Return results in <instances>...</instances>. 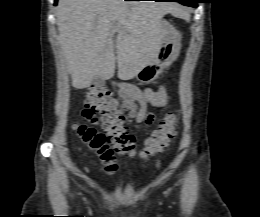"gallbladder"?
I'll list each match as a JSON object with an SVG mask.
<instances>
[{"mask_svg": "<svg viewBox=\"0 0 260 217\" xmlns=\"http://www.w3.org/2000/svg\"><path fill=\"white\" fill-rule=\"evenodd\" d=\"M92 84L96 87H102L104 85V80L99 76H95L93 78Z\"/></svg>", "mask_w": 260, "mask_h": 217, "instance_id": "obj_1", "label": "gallbladder"}]
</instances>
